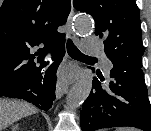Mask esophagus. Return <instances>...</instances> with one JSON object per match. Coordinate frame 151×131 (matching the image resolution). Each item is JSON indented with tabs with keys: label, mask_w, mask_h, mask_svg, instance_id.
<instances>
[{
	"label": "esophagus",
	"mask_w": 151,
	"mask_h": 131,
	"mask_svg": "<svg viewBox=\"0 0 151 131\" xmlns=\"http://www.w3.org/2000/svg\"><path fill=\"white\" fill-rule=\"evenodd\" d=\"M73 16H74V9L72 6L70 14L67 19L66 26H67V32H68L69 37H71L72 39H75L76 35L74 31L72 30V26H71ZM68 88H69V83L59 80L56 85V97L58 99L61 98L68 91Z\"/></svg>",
	"instance_id": "34e87169"
}]
</instances>
